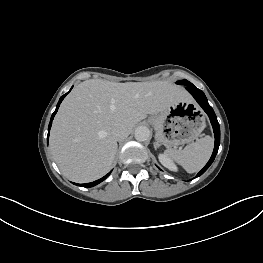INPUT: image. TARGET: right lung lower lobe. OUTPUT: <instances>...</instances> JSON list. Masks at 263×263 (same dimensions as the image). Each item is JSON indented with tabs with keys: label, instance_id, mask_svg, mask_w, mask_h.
<instances>
[{
	"label": "right lung lower lobe",
	"instance_id": "right-lung-lower-lobe-1",
	"mask_svg": "<svg viewBox=\"0 0 263 263\" xmlns=\"http://www.w3.org/2000/svg\"><path fill=\"white\" fill-rule=\"evenodd\" d=\"M68 93H69V92H68ZM68 93L64 94V95L60 98V100H59V102H58V104H57V106H56V110L54 111V113H53L52 116H51V120H50V123H49L48 131H49L50 128H51L52 120H53V118H54V116H55V114H56V112H57V110H58V108H59L62 100L65 98V96H66ZM48 137H49V132H48ZM110 173H111V172H109L107 175H105V176L102 177L101 179L96 180V181H94V182L82 184V187H93V186L99 184L100 182H102L103 180H105V179L110 175Z\"/></svg>",
	"mask_w": 263,
	"mask_h": 263
}]
</instances>
